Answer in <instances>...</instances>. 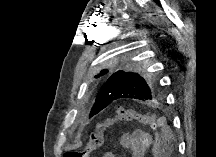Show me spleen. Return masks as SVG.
<instances>
[{
  "label": "spleen",
  "instance_id": "spleen-1",
  "mask_svg": "<svg viewBox=\"0 0 216 157\" xmlns=\"http://www.w3.org/2000/svg\"><path fill=\"white\" fill-rule=\"evenodd\" d=\"M164 140H167V141H170V142L173 140V135L171 134L170 131H168V136Z\"/></svg>",
  "mask_w": 216,
  "mask_h": 157
}]
</instances>
